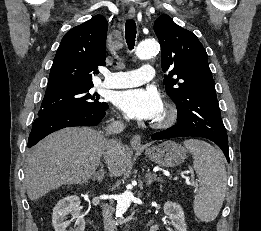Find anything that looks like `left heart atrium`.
Wrapping results in <instances>:
<instances>
[{
    "label": "left heart atrium",
    "instance_id": "39dd6f15",
    "mask_svg": "<svg viewBox=\"0 0 261 231\" xmlns=\"http://www.w3.org/2000/svg\"><path fill=\"white\" fill-rule=\"evenodd\" d=\"M116 106L128 116L143 120H155L163 110L159 93L151 87L119 92Z\"/></svg>",
    "mask_w": 261,
    "mask_h": 231
}]
</instances>
